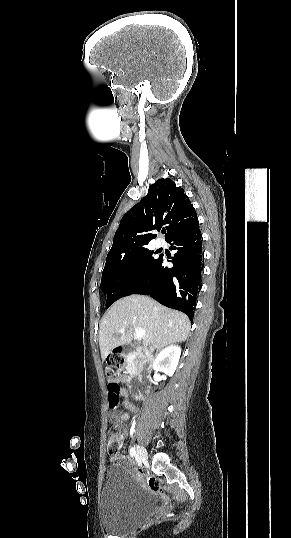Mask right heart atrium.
<instances>
[{"mask_svg":"<svg viewBox=\"0 0 291 538\" xmlns=\"http://www.w3.org/2000/svg\"><path fill=\"white\" fill-rule=\"evenodd\" d=\"M131 273H132L133 276H137L138 275V270L137 269H132Z\"/></svg>","mask_w":291,"mask_h":538,"instance_id":"1","label":"right heart atrium"}]
</instances>
